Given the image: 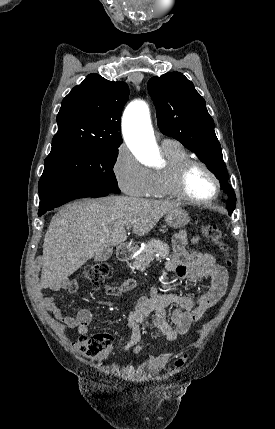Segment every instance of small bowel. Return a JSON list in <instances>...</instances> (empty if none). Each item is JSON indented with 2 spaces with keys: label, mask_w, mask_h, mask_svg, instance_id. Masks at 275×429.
I'll list each match as a JSON object with an SVG mask.
<instances>
[{
  "label": "small bowel",
  "mask_w": 275,
  "mask_h": 429,
  "mask_svg": "<svg viewBox=\"0 0 275 429\" xmlns=\"http://www.w3.org/2000/svg\"><path fill=\"white\" fill-rule=\"evenodd\" d=\"M198 237L191 238L192 243L198 242ZM189 235L186 231H180L173 238L174 255L166 261L165 269L175 272L178 279H186L189 283L207 280L208 286L198 296H182L176 294L160 293L155 288L149 296H142L134 309L130 311L125 328L129 334L126 350H132L135 354L140 351V325L149 319L151 326L169 341L184 335L190 326L200 320L206 310L215 305L224 295L227 286L228 273L226 269L216 262L215 257L200 250L189 251L187 244ZM135 285L133 279L127 278L118 284H109L105 287L108 295H119ZM59 288L75 293L78 290L77 279H67L57 285ZM44 307L58 320L69 328L76 329L84 335L89 331L93 321V313L88 308H81L75 316L65 314L55 303L52 296L42 298ZM175 306L167 319L166 309Z\"/></svg>",
  "instance_id": "obj_1"
}]
</instances>
